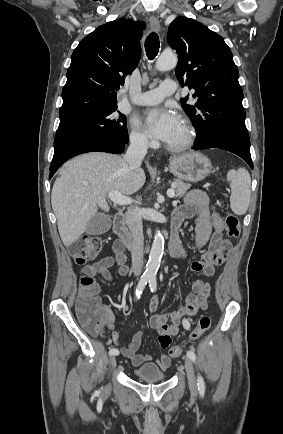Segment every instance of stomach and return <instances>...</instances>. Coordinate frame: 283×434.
Returning <instances> with one entry per match:
<instances>
[{"label": "stomach", "instance_id": "1", "mask_svg": "<svg viewBox=\"0 0 283 434\" xmlns=\"http://www.w3.org/2000/svg\"><path fill=\"white\" fill-rule=\"evenodd\" d=\"M170 171L179 179L199 182L212 171L209 158L199 152H188L170 159Z\"/></svg>", "mask_w": 283, "mask_h": 434}]
</instances>
